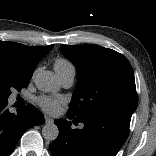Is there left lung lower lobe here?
Instances as JSON below:
<instances>
[{
    "mask_svg": "<svg viewBox=\"0 0 156 156\" xmlns=\"http://www.w3.org/2000/svg\"><path fill=\"white\" fill-rule=\"evenodd\" d=\"M73 122H83V129H71V122L58 119L56 140L50 144L52 156H116L125 143L130 120L116 114L78 118L67 113Z\"/></svg>",
    "mask_w": 156,
    "mask_h": 156,
    "instance_id": "obj_1",
    "label": "left lung lower lobe"
}]
</instances>
